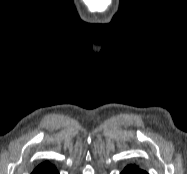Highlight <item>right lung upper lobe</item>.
<instances>
[{"label":"right lung upper lobe","instance_id":"right-lung-upper-lobe-1","mask_svg":"<svg viewBox=\"0 0 187 174\" xmlns=\"http://www.w3.org/2000/svg\"><path fill=\"white\" fill-rule=\"evenodd\" d=\"M46 172H56V169L49 162H44L36 167L32 174H45Z\"/></svg>","mask_w":187,"mask_h":174}]
</instances>
